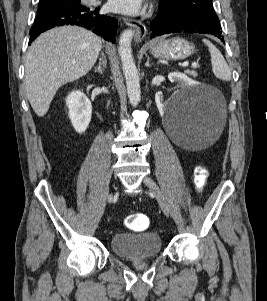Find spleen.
Returning a JSON list of instances; mask_svg holds the SVG:
<instances>
[{
    "label": "spleen",
    "mask_w": 267,
    "mask_h": 301,
    "mask_svg": "<svg viewBox=\"0 0 267 301\" xmlns=\"http://www.w3.org/2000/svg\"><path fill=\"white\" fill-rule=\"evenodd\" d=\"M211 55V64L214 75L221 80L230 81L231 71L221 52L207 39H203Z\"/></svg>",
    "instance_id": "spleen-1"
}]
</instances>
